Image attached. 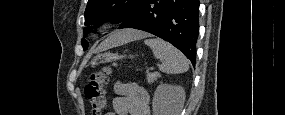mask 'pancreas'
<instances>
[{
	"mask_svg": "<svg viewBox=\"0 0 285 115\" xmlns=\"http://www.w3.org/2000/svg\"><path fill=\"white\" fill-rule=\"evenodd\" d=\"M161 77V74L159 72H148L147 73V81L149 84L154 83L155 81H157V79Z\"/></svg>",
	"mask_w": 285,
	"mask_h": 115,
	"instance_id": "pancreas-1",
	"label": "pancreas"
}]
</instances>
